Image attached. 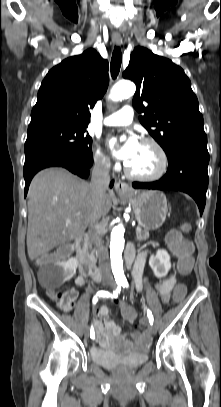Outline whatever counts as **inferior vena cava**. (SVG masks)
<instances>
[{"instance_id":"obj_1","label":"inferior vena cava","mask_w":221,"mask_h":407,"mask_svg":"<svg viewBox=\"0 0 221 407\" xmlns=\"http://www.w3.org/2000/svg\"><path fill=\"white\" fill-rule=\"evenodd\" d=\"M110 164L104 160L95 161L92 169L91 191L92 198L96 203H100L106 196V190L110 183ZM94 223L89 226L91 242L97 247L99 255V266L103 275H110L111 267L109 263L108 250L102 244V236L95 230Z\"/></svg>"}]
</instances>
